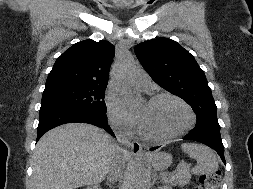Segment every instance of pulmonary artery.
Listing matches in <instances>:
<instances>
[{
	"instance_id": "pulmonary-artery-1",
	"label": "pulmonary artery",
	"mask_w": 253,
	"mask_h": 189,
	"mask_svg": "<svg viewBox=\"0 0 253 189\" xmlns=\"http://www.w3.org/2000/svg\"><path fill=\"white\" fill-rule=\"evenodd\" d=\"M134 84L139 88L147 89L151 85V81H150L149 77L147 76V74L138 73L135 76Z\"/></svg>"
}]
</instances>
